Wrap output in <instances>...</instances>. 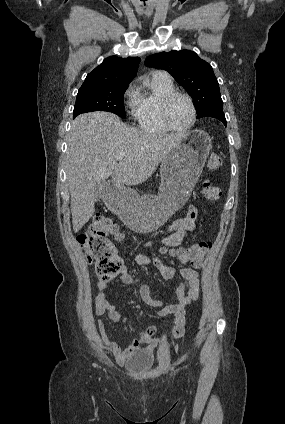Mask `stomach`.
Returning <instances> with one entry per match:
<instances>
[{
  "instance_id": "1",
  "label": "stomach",
  "mask_w": 285,
  "mask_h": 424,
  "mask_svg": "<svg viewBox=\"0 0 285 424\" xmlns=\"http://www.w3.org/2000/svg\"><path fill=\"white\" fill-rule=\"evenodd\" d=\"M211 148L212 142L206 132H192L161 162V184L157 195H127L117 191L108 202L109 207L136 232L158 229L188 200Z\"/></svg>"
}]
</instances>
